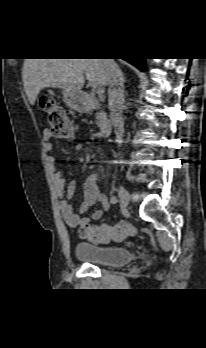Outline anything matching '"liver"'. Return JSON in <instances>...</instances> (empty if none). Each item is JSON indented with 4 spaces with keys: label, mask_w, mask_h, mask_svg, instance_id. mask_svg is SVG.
<instances>
[{
    "label": "liver",
    "mask_w": 206,
    "mask_h": 348,
    "mask_svg": "<svg viewBox=\"0 0 206 348\" xmlns=\"http://www.w3.org/2000/svg\"><path fill=\"white\" fill-rule=\"evenodd\" d=\"M85 75V76H84ZM107 85L103 59H25L22 69L24 89L30 104L46 87L80 91L85 83Z\"/></svg>",
    "instance_id": "liver-1"
}]
</instances>
